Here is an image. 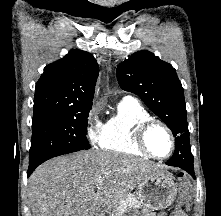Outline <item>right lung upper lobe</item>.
Segmentation results:
<instances>
[{
    "label": "right lung upper lobe",
    "mask_w": 221,
    "mask_h": 216,
    "mask_svg": "<svg viewBox=\"0 0 221 216\" xmlns=\"http://www.w3.org/2000/svg\"><path fill=\"white\" fill-rule=\"evenodd\" d=\"M98 74L95 58L78 49L47 65L35 88L33 122L91 109Z\"/></svg>",
    "instance_id": "obj_1"
}]
</instances>
